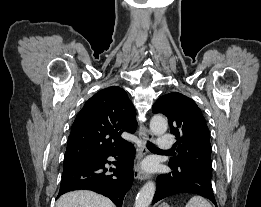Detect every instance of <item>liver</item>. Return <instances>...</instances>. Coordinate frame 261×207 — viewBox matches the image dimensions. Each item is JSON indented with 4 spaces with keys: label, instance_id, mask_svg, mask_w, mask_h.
Masks as SVG:
<instances>
[{
    "label": "liver",
    "instance_id": "1",
    "mask_svg": "<svg viewBox=\"0 0 261 207\" xmlns=\"http://www.w3.org/2000/svg\"><path fill=\"white\" fill-rule=\"evenodd\" d=\"M56 207H115L108 198L88 190H77L62 195Z\"/></svg>",
    "mask_w": 261,
    "mask_h": 207
}]
</instances>
